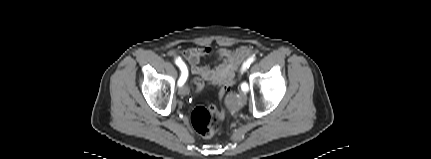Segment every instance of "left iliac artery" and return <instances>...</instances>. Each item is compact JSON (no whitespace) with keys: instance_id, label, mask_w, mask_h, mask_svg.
I'll use <instances>...</instances> for the list:
<instances>
[{"instance_id":"left-iliac-artery-1","label":"left iliac artery","mask_w":431,"mask_h":159,"mask_svg":"<svg viewBox=\"0 0 431 159\" xmlns=\"http://www.w3.org/2000/svg\"><path fill=\"white\" fill-rule=\"evenodd\" d=\"M255 60V58L254 57H251V58H249L245 63H244V65H243V71H245L246 70V68H249V66H250V64L253 62ZM241 89L243 90V91H248V85L246 84V83H242L241 84Z\"/></svg>"}]
</instances>
